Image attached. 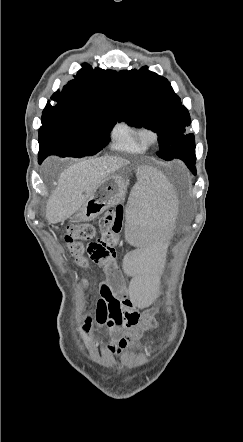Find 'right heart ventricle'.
Wrapping results in <instances>:
<instances>
[{
    "label": "right heart ventricle",
    "instance_id": "e07e8e85",
    "mask_svg": "<svg viewBox=\"0 0 243 442\" xmlns=\"http://www.w3.org/2000/svg\"><path fill=\"white\" fill-rule=\"evenodd\" d=\"M142 132V126L133 125L127 120H121L112 130V147L130 154L144 153L148 145L143 140Z\"/></svg>",
    "mask_w": 243,
    "mask_h": 442
}]
</instances>
